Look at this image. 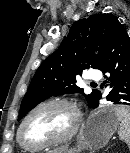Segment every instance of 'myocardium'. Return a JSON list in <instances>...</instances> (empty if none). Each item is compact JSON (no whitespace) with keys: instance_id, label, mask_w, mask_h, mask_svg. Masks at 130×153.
I'll list each match as a JSON object with an SVG mask.
<instances>
[{"instance_id":"f54148a6","label":"myocardium","mask_w":130,"mask_h":153,"mask_svg":"<svg viewBox=\"0 0 130 153\" xmlns=\"http://www.w3.org/2000/svg\"><path fill=\"white\" fill-rule=\"evenodd\" d=\"M51 105H62V106L69 108L72 111L74 115V122H73L71 129L68 131L66 135L60 138H56V139H52V140L44 141L40 143L26 142L22 136L23 128L26 122L39 109L46 107V106H51ZM81 123H82V114L76 102H74L73 100L67 99V98L49 99V100L39 103L25 115L18 129V133H17L18 142L23 148L28 149V150H40V149H44L47 147L64 144V143L69 142L75 137V135L79 131Z\"/></svg>"}]
</instances>
